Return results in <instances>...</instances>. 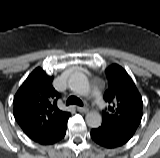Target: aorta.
<instances>
[{"label": "aorta", "instance_id": "aorta-1", "mask_svg": "<svg viewBox=\"0 0 160 158\" xmlns=\"http://www.w3.org/2000/svg\"><path fill=\"white\" fill-rule=\"evenodd\" d=\"M71 89L80 94L88 93L90 85L87 77L82 73H75L69 79ZM86 123L91 128H98L102 124V116L97 111L89 112L85 117Z\"/></svg>", "mask_w": 160, "mask_h": 158}]
</instances>
